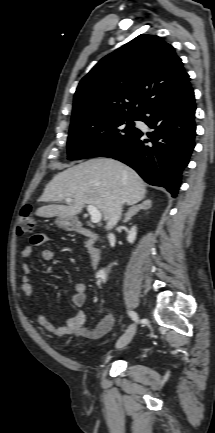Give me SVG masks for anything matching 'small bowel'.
<instances>
[{
    "label": "small bowel",
    "instance_id": "obj_1",
    "mask_svg": "<svg viewBox=\"0 0 215 433\" xmlns=\"http://www.w3.org/2000/svg\"><path fill=\"white\" fill-rule=\"evenodd\" d=\"M50 241L49 235L38 233L32 236L30 244L21 249V256L29 258L33 248L42 246ZM41 259L44 262H51L54 259V252L51 249L45 248L41 252ZM21 277V292L26 298L33 297V286L31 284L30 274L31 266L23 264ZM87 286L83 281H78L74 284L73 292L70 296L71 303L74 307H82L86 301ZM37 323L49 333L55 336L72 335L78 338L96 340L105 336L114 326V316L112 314L105 315L95 327H91L87 321L83 311H77L69 316L63 326H55L44 314L37 312Z\"/></svg>",
    "mask_w": 215,
    "mask_h": 433
}]
</instances>
